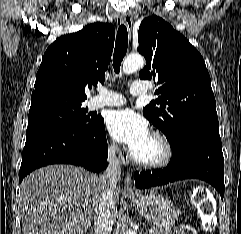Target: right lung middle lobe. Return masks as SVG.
I'll return each mask as SVG.
<instances>
[{
    "label": "right lung middle lobe",
    "mask_w": 241,
    "mask_h": 234,
    "mask_svg": "<svg viewBox=\"0 0 241 234\" xmlns=\"http://www.w3.org/2000/svg\"><path fill=\"white\" fill-rule=\"evenodd\" d=\"M87 111L84 104L60 100L31 105L28 129L44 125H64L88 131L98 124L100 118H90Z\"/></svg>",
    "instance_id": "obj_1"
}]
</instances>
